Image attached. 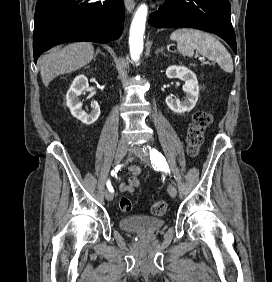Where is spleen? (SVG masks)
<instances>
[{
	"instance_id": "3e777b00",
	"label": "spleen",
	"mask_w": 272,
	"mask_h": 282,
	"mask_svg": "<svg viewBox=\"0 0 272 282\" xmlns=\"http://www.w3.org/2000/svg\"><path fill=\"white\" fill-rule=\"evenodd\" d=\"M170 38L177 42V49L182 55L192 57L194 51H197L201 55L217 61L225 72H233L231 55L212 35L200 30L184 28L174 31Z\"/></svg>"
}]
</instances>
